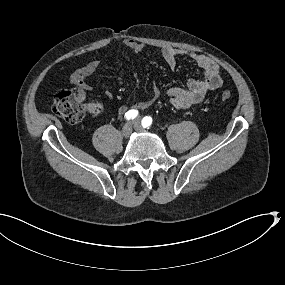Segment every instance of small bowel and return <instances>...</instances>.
Wrapping results in <instances>:
<instances>
[{
  "instance_id": "c3829d8e",
  "label": "small bowel",
  "mask_w": 285,
  "mask_h": 285,
  "mask_svg": "<svg viewBox=\"0 0 285 285\" xmlns=\"http://www.w3.org/2000/svg\"><path fill=\"white\" fill-rule=\"evenodd\" d=\"M122 46L131 50L134 53H141L144 49L143 45L131 38H126L122 41ZM165 62L170 66L177 64V59L180 56L188 55L202 70L200 79H189L186 87H171L166 91L169 102L177 109H186L192 105L202 102L206 96L213 90L220 88L223 84L221 69L219 65L207 56L188 53L181 49L164 48L161 51ZM100 67V61L95 59L88 62L86 65L78 68L70 77V81L81 91L91 89L87 82V77L93 75ZM160 90L154 85L151 96L145 101L136 103L133 107L136 109H145L149 107L159 96ZM112 92L107 90L106 96L112 97ZM128 106H121L119 113L128 112Z\"/></svg>"
}]
</instances>
